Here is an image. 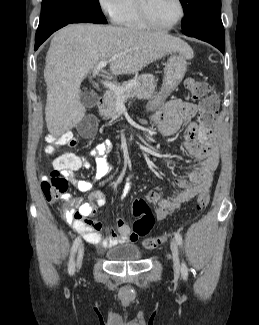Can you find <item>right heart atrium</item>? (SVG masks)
I'll list each match as a JSON object with an SVG mask.
<instances>
[{"mask_svg":"<svg viewBox=\"0 0 259 325\" xmlns=\"http://www.w3.org/2000/svg\"><path fill=\"white\" fill-rule=\"evenodd\" d=\"M128 0H97L101 11L110 19L116 20L126 7Z\"/></svg>","mask_w":259,"mask_h":325,"instance_id":"obj_1","label":"right heart atrium"}]
</instances>
